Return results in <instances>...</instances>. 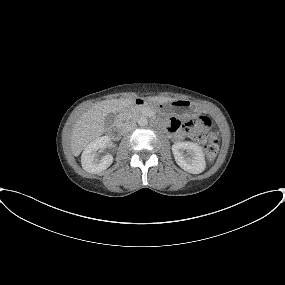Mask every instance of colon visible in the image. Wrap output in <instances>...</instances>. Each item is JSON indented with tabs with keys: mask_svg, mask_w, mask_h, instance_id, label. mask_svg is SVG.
Wrapping results in <instances>:
<instances>
[{
	"mask_svg": "<svg viewBox=\"0 0 285 285\" xmlns=\"http://www.w3.org/2000/svg\"><path fill=\"white\" fill-rule=\"evenodd\" d=\"M209 124L208 117L201 116L198 120L186 122L185 127L193 138L204 144L207 159L213 161L218 152L219 144L214 135L205 133Z\"/></svg>",
	"mask_w": 285,
	"mask_h": 285,
	"instance_id": "obj_1",
	"label": "colon"
}]
</instances>
